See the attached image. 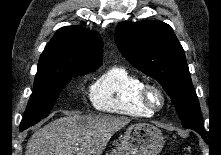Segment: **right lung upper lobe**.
Here are the masks:
<instances>
[{
    "label": "right lung upper lobe",
    "mask_w": 221,
    "mask_h": 155,
    "mask_svg": "<svg viewBox=\"0 0 221 155\" xmlns=\"http://www.w3.org/2000/svg\"><path fill=\"white\" fill-rule=\"evenodd\" d=\"M103 42L99 34L82 27L57 30L40 56L38 69H65L101 65Z\"/></svg>",
    "instance_id": "right-lung-upper-lobe-1"
}]
</instances>
